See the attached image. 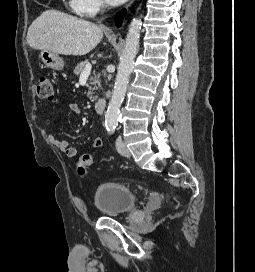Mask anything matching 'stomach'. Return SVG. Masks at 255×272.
I'll use <instances>...</instances> for the list:
<instances>
[{
	"label": "stomach",
	"mask_w": 255,
	"mask_h": 272,
	"mask_svg": "<svg viewBox=\"0 0 255 272\" xmlns=\"http://www.w3.org/2000/svg\"><path fill=\"white\" fill-rule=\"evenodd\" d=\"M40 58L47 68L57 71H61L64 68V61L57 53L41 50Z\"/></svg>",
	"instance_id": "1"
}]
</instances>
